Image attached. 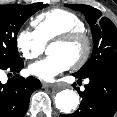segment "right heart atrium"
Instances as JSON below:
<instances>
[{
  "label": "right heart atrium",
  "instance_id": "1",
  "mask_svg": "<svg viewBox=\"0 0 117 117\" xmlns=\"http://www.w3.org/2000/svg\"><path fill=\"white\" fill-rule=\"evenodd\" d=\"M16 47L21 56L27 60L39 57L45 49V44L34 31L20 29L15 38Z\"/></svg>",
  "mask_w": 117,
  "mask_h": 117
}]
</instances>
